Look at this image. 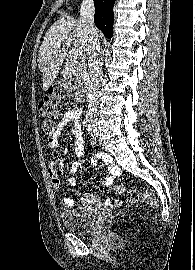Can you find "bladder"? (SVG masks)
I'll list each match as a JSON object with an SVG mask.
<instances>
[{"label": "bladder", "instance_id": "obj_1", "mask_svg": "<svg viewBox=\"0 0 195 270\" xmlns=\"http://www.w3.org/2000/svg\"><path fill=\"white\" fill-rule=\"evenodd\" d=\"M98 217L94 208L67 209L61 214L64 228L72 233L86 234L92 231Z\"/></svg>", "mask_w": 195, "mask_h": 270}]
</instances>
